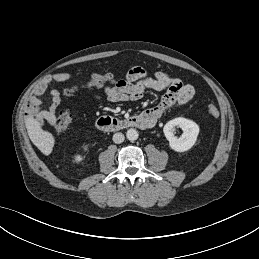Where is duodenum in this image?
<instances>
[{"label": "duodenum", "mask_w": 259, "mask_h": 259, "mask_svg": "<svg viewBox=\"0 0 259 259\" xmlns=\"http://www.w3.org/2000/svg\"><path fill=\"white\" fill-rule=\"evenodd\" d=\"M153 125L151 119L144 114L132 116L128 119H116L113 117H100L96 121L98 129L106 132L119 131L129 127L146 129Z\"/></svg>", "instance_id": "obj_1"}]
</instances>
